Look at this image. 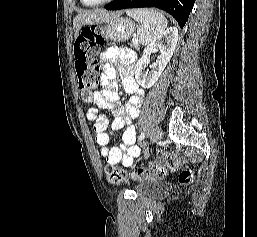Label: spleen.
Returning a JSON list of instances; mask_svg holds the SVG:
<instances>
[{"label":"spleen","mask_w":257,"mask_h":237,"mask_svg":"<svg viewBox=\"0 0 257 237\" xmlns=\"http://www.w3.org/2000/svg\"><path fill=\"white\" fill-rule=\"evenodd\" d=\"M126 14L141 24L137 37L142 45L150 44L167 28V19L154 9H130Z\"/></svg>","instance_id":"spleen-1"}]
</instances>
